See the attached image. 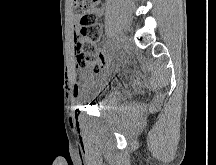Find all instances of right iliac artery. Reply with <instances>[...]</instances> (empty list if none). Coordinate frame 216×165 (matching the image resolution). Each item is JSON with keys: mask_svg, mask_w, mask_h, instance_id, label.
Wrapping results in <instances>:
<instances>
[{"mask_svg": "<svg viewBox=\"0 0 216 165\" xmlns=\"http://www.w3.org/2000/svg\"><path fill=\"white\" fill-rule=\"evenodd\" d=\"M117 42L115 41V39H110V44H116Z\"/></svg>", "mask_w": 216, "mask_h": 165, "instance_id": "obj_1", "label": "right iliac artery"}]
</instances>
